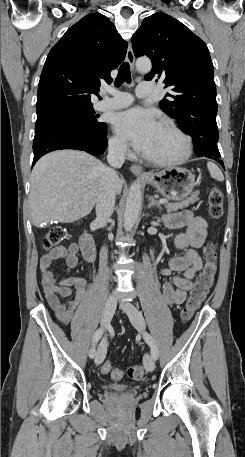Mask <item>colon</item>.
<instances>
[{
  "mask_svg": "<svg viewBox=\"0 0 245 457\" xmlns=\"http://www.w3.org/2000/svg\"><path fill=\"white\" fill-rule=\"evenodd\" d=\"M207 200L210 216L214 219L221 218L224 212L222 191L217 186L211 187L208 191ZM65 236L66 232L61 227H51L43 237V247L45 249L55 248L65 239ZM216 271V251L214 245H210L205 254L204 266L181 312L183 322L189 321L201 303L206 299L213 286ZM100 370L102 373L110 374L113 380H119L123 376L122 371L118 368H113L109 360L102 362ZM127 375L132 380H140L144 375L143 366L140 364L130 366L127 369Z\"/></svg>",
  "mask_w": 245,
  "mask_h": 457,
  "instance_id": "obj_1",
  "label": "colon"
}]
</instances>
